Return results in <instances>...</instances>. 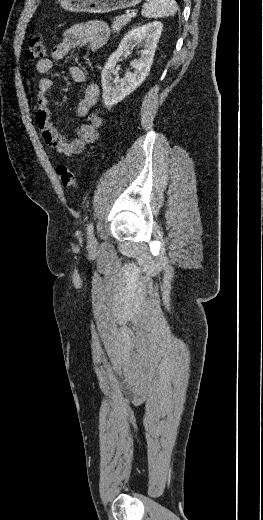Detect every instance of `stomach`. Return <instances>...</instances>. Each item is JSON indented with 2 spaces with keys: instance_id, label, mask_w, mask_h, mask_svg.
<instances>
[{
  "instance_id": "obj_1",
  "label": "stomach",
  "mask_w": 263,
  "mask_h": 520,
  "mask_svg": "<svg viewBox=\"0 0 263 520\" xmlns=\"http://www.w3.org/2000/svg\"><path fill=\"white\" fill-rule=\"evenodd\" d=\"M142 0H58L60 6L71 12L104 14L138 5Z\"/></svg>"
}]
</instances>
